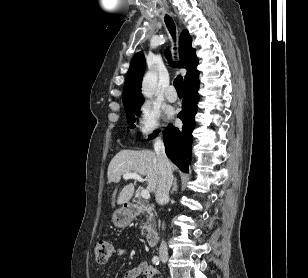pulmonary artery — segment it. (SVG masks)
<instances>
[{
  "label": "pulmonary artery",
  "mask_w": 308,
  "mask_h": 278,
  "mask_svg": "<svg viewBox=\"0 0 308 278\" xmlns=\"http://www.w3.org/2000/svg\"><path fill=\"white\" fill-rule=\"evenodd\" d=\"M165 96H166V99L169 101V102H175L177 100V93L174 89L173 86H168L166 91H165Z\"/></svg>",
  "instance_id": "pulmonary-artery-1"
}]
</instances>
